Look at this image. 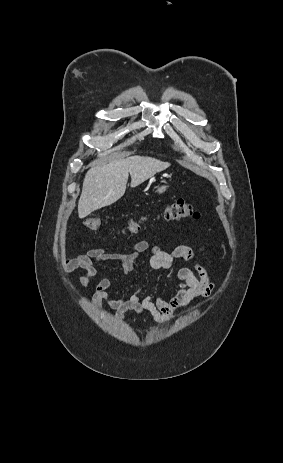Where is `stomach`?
Segmentation results:
<instances>
[{"label": "stomach", "instance_id": "0dacf381", "mask_svg": "<svg viewBox=\"0 0 283 463\" xmlns=\"http://www.w3.org/2000/svg\"><path fill=\"white\" fill-rule=\"evenodd\" d=\"M167 188H168V186H166V185H160V186L157 187V192L159 194H162V193L166 192Z\"/></svg>", "mask_w": 283, "mask_h": 463}]
</instances>
